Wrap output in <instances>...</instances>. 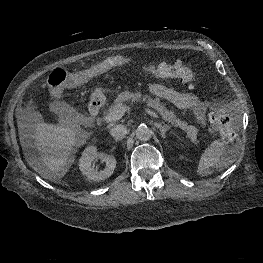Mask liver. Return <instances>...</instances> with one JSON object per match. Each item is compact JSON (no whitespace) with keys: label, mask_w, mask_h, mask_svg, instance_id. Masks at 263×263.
I'll return each instance as SVG.
<instances>
[{"label":"liver","mask_w":263,"mask_h":263,"mask_svg":"<svg viewBox=\"0 0 263 263\" xmlns=\"http://www.w3.org/2000/svg\"><path fill=\"white\" fill-rule=\"evenodd\" d=\"M16 117L22 146L26 147L27 138L30 136L34 139L40 155L37 161H29V164L45 179L62 178L74 162V152L86 143L89 134L74 123H31L20 111H17Z\"/></svg>","instance_id":"obj_1"}]
</instances>
